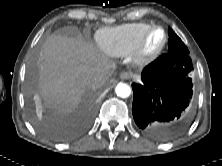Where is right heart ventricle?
Returning a JSON list of instances; mask_svg holds the SVG:
<instances>
[{"label": "right heart ventricle", "mask_w": 222, "mask_h": 166, "mask_svg": "<svg viewBox=\"0 0 222 166\" xmlns=\"http://www.w3.org/2000/svg\"><path fill=\"white\" fill-rule=\"evenodd\" d=\"M151 26L137 22L97 32L96 40L101 49L111 56H124L132 52L142 33Z\"/></svg>", "instance_id": "1"}]
</instances>
